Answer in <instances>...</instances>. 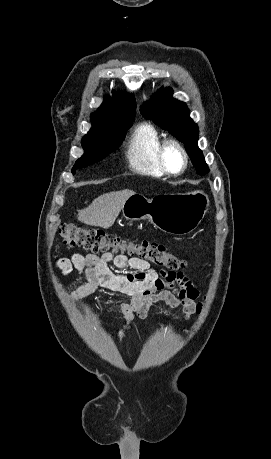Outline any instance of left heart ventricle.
<instances>
[{
  "mask_svg": "<svg viewBox=\"0 0 271 459\" xmlns=\"http://www.w3.org/2000/svg\"><path fill=\"white\" fill-rule=\"evenodd\" d=\"M166 158L169 167L173 171H179L184 167V156L182 152L174 145H170L166 151Z\"/></svg>",
  "mask_w": 271,
  "mask_h": 459,
  "instance_id": "left-heart-ventricle-1",
  "label": "left heart ventricle"
}]
</instances>
